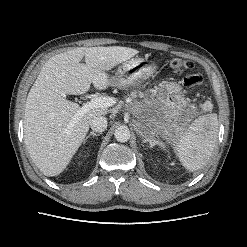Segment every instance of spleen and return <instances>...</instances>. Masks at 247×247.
<instances>
[{"instance_id":"obj_1","label":"spleen","mask_w":247,"mask_h":247,"mask_svg":"<svg viewBox=\"0 0 247 247\" xmlns=\"http://www.w3.org/2000/svg\"><path fill=\"white\" fill-rule=\"evenodd\" d=\"M202 108L211 111L213 105L206 101ZM218 138V119L214 113L199 116L188 127L175 145V152L182 165L196 171L202 168L209 160Z\"/></svg>"}]
</instances>
